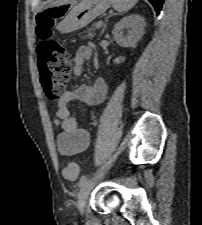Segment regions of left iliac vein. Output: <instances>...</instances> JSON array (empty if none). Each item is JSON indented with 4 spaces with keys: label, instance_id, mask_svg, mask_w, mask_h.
<instances>
[{
    "label": "left iliac vein",
    "instance_id": "1",
    "mask_svg": "<svg viewBox=\"0 0 202 225\" xmlns=\"http://www.w3.org/2000/svg\"><path fill=\"white\" fill-rule=\"evenodd\" d=\"M94 179H90L85 181V183L81 186L80 191L78 193V208L81 213L84 212V207L88 198V195L91 191Z\"/></svg>",
    "mask_w": 202,
    "mask_h": 225
}]
</instances>
